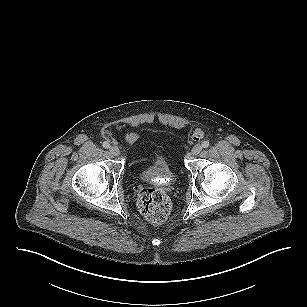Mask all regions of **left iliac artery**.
Masks as SVG:
<instances>
[{
	"label": "left iliac artery",
	"instance_id": "obj_1",
	"mask_svg": "<svg viewBox=\"0 0 307 307\" xmlns=\"http://www.w3.org/2000/svg\"><path fill=\"white\" fill-rule=\"evenodd\" d=\"M209 145H210V143H209L208 140H205V141L202 142V147L203 148H207Z\"/></svg>",
	"mask_w": 307,
	"mask_h": 307
}]
</instances>
